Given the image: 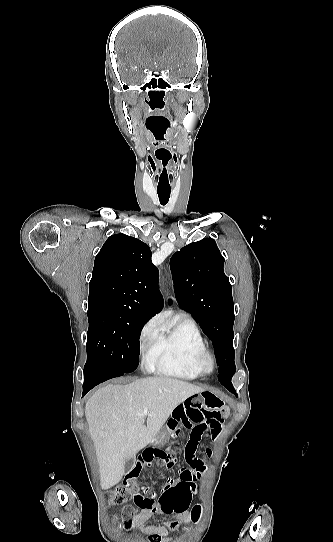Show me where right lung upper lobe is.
Listing matches in <instances>:
<instances>
[{"label": "right lung upper lobe", "mask_w": 333, "mask_h": 542, "mask_svg": "<svg viewBox=\"0 0 333 542\" xmlns=\"http://www.w3.org/2000/svg\"><path fill=\"white\" fill-rule=\"evenodd\" d=\"M151 255L148 245L134 237L110 236L95 258L88 308L115 307L151 317L159 313L163 298Z\"/></svg>", "instance_id": "1"}]
</instances>
